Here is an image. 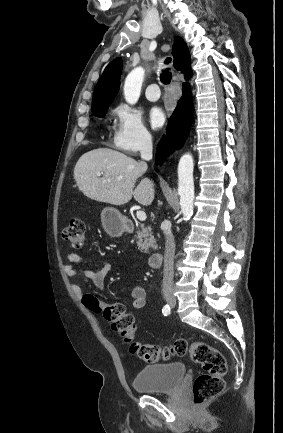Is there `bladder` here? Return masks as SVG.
Returning a JSON list of instances; mask_svg holds the SVG:
<instances>
[{"mask_svg":"<svg viewBox=\"0 0 283 433\" xmlns=\"http://www.w3.org/2000/svg\"><path fill=\"white\" fill-rule=\"evenodd\" d=\"M185 375L183 363L143 367L134 377L132 386L138 392L163 393L175 390Z\"/></svg>","mask_w":283,"mask_h":433,"instance_id":"bladder-1","label":"bladder"}]
</instances>
